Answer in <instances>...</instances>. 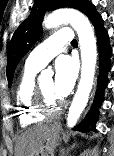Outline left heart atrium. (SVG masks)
Segmentation results:
<instances>
[{
    "instance_id": "obj_1",
    "label": "left heart atrium",
    "mask_w": 114,
    "mask_h": 156,
    "mask_svg": "<svg viewBox=\"0 0 114 156\" xmlns=\"http://www.w3.org/2000/svg\"><path fill=\"white\" fill-rule=\"evenodd\" d=\"M77 75L78 63L75 58L62 56L56 61L53 93L58 99L61 100L71 93Z\"/></svg>"
}]
</instances>
